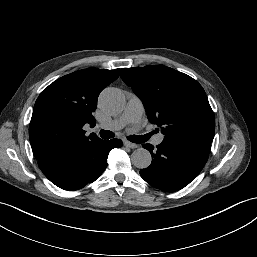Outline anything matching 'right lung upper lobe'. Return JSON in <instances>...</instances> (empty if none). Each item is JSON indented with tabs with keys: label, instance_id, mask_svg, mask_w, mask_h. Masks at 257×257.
Wrapping results in <instances>:
<instances>
[{
	"label": "right lung upper lobe",
	"instance_id": "1",
	"mask_svg": "<svg viewBox=\"0 0 257 257\" xmlns=\"http://www.w3.org/2000/svg\"><path fill=\"white\" fill-rule=\"evenodd\" d=\"M119 76V69L87 68L65 75L39 95L30 121L29 138L38 163L56 159L100 140L85 136L83 126H95L92 115L100 92Z\"/></svg>",
	"mask_w": 257,
	"mask_h": 257
}]
</instances>
